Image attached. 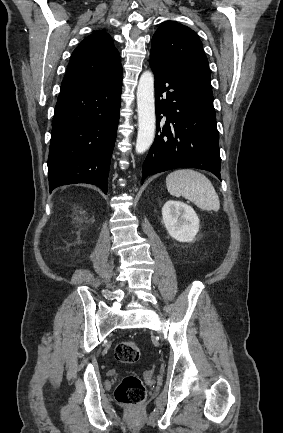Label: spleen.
<instances>
[{
	"instance_id": "obj_1",
	"label": "spleen",
	"mask_w": 283,
	"mask_h": 433,
	"mask_svg": "<svg viewBox=\"0 0 283 433\" xmlns=\"http://www.w3.org/2000/svg\"><path fill=\"white\" fill-rule=\"evenodd\" d=\"M168 192L173 196H185L203 210H219V196L209 178L201 172L182 168L166 176Z\"/></svg>"
}]
</instances>
